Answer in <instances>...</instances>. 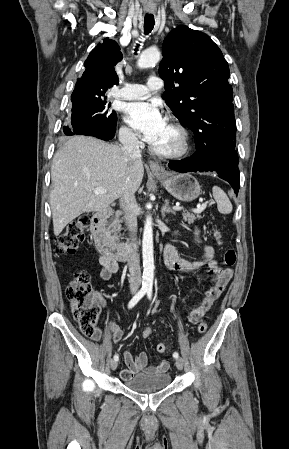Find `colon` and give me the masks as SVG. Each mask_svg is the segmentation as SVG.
Masks as SVG:
<instances>
[{"label":"colon","instance_id":"colon-1","mask_svg":"<svg viewBox=\"0 0 289 449\" xmlns=\"http://www.w3.org/2000/svg\"><path fill=\"white\" fill-rule=\"evenodd\" d=\"M89 223L88 215H82L70 222L57 239V252L74 254L79 244L84 240ZM213 236L218 243H221L222 234L219 230H214ZM236 260L235 251L233 249L226 250L224 264L231 267L236 263ZM66 295L81 332L87 337H94L98 331L97 322L100 309L98 299L91 288L90 276L86 271L79 270L73 274V278L67 286ZM207 327L206 322H200L197 330L203 334L207 331ZM151 334L150 328H145L142 332L144 338H149ZM167 350L165 351L167 352Z\"/></svg>","mask_w":289,"mask_h":449}]
</instances>
